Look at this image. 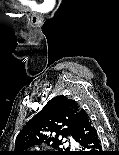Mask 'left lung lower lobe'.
<instances>
[{
    "instance_id": "obj_1",
    "label": "left lung lower lobe",
    "mask_w": 119,
    "mask_h": 155,
    "mask_svg": "<svg viewBox=\"0 0 119 155\" xmlns=\"http://www.w3.org/2000/svg\"><path fill=\"white\" fill-rule=\"evenodd\" d=\"M73 138L83 150L82 152L75 153V155H104L93 121L82 109L78 113Z\"/></svg>"
}]
</instances>
